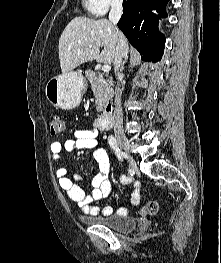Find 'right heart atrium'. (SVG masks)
<instances>
[{
	"label": "right heart atrium",
	"instance_id": "1",
	"mask_svg": "<svg viewBox=\"0 0 221 263\" xmlns=\"http://www.w3.org/2000/svg\"><path fill=\"white\" fill-rule=\"evenodd\" d=\"M121 3L122 0H88L87 9L92 15L101 16Z\"/></svg>",
	"mask_w": 221,
	"mask_h": 263
}]
</instances>
